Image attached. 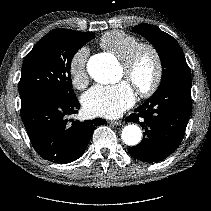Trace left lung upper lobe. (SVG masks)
Listing matches in <instances>:
<instances>
[{
	"label": "left lung upper lobe",
	"mask_w": 211,
	"mask_h": 211,
	"mask_svg": "<svg viewBox=\"0 0 211 211\" xmlns=\"http://www.w3.org/2000/svg\"><path fill=\"white\" fill-rule=\"evenodd\" d=\"M133 31L151 42L159 54L162 79L157 90L173 79L191 76L185 55L176 39L149 24H139L133 28Z\"/></svg>",
	"instance_id": "obj_1"
}]
</instances>
